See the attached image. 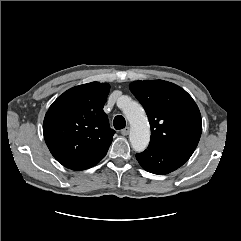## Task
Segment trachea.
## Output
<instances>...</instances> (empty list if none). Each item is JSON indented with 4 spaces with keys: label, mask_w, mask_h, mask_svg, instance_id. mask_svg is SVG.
<instances>
[{
    "label": "trachea",
    "mask_w": 241,
    "mask_h": 241,
    "mask_svg": "<svg viewBox=\"0 0 241 241\" xmlns=\"http://www.w3.org/2000/svg\"><path fill=\"white\" fill-rule=\"evenodd\" d=\"M113 125H114L116 130H120V129L125 128V126H126L125 118L122 115H117L114 118Z\"/></svg>",
    "instance_id": "1"
}]
</instances>
